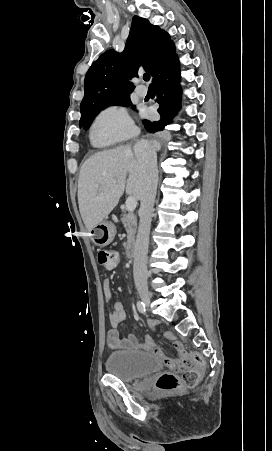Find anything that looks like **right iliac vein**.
I'll use <instances>...</instances> for the list:
<instances>
[{"label": "right iliac vein", "mask_w": 272, "mask_h": 451, "mask_svg": "<svg viewBox=\"0 0 272 451\" xmlns=\"http://www.w3.org/2000/svg\"><path fill=\"white\" fill-rule=\"evenodd\" d=\"M138 294L146 306H149L151 303V297L149 291L146 287H141L138 289Z\"/></svg>", "instance_id": "right-iliac-vein-1"}]
</instances>
